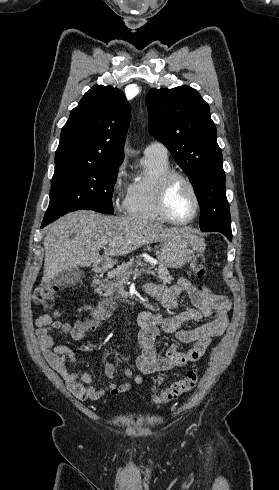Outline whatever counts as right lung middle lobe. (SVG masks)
I'll list each match as a JSON object with an SVG mask.
<instances>
[{"label": "right lung middle lobe", "mask_w": 279, "mask_h": 490, "mask_svg": "<svg viewBox=\"0 0 279 490\" xmlns=\"http://www.w3.org/2000/svg\"><path fill=\"white\" fill-rule=\"evenodd\" d=\"M115 163H80L55 166L49 207L44 223L76 210L113 214L112 194L118 167Z\"/></svg>", "instance_id": "dd1d6c3e"}]
</instances>
